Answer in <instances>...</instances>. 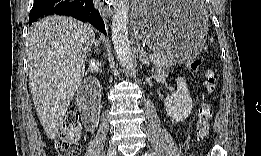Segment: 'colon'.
<instances>
[{
  "label": "colon",
  "instance_id": "1",
  "mask_svg": "<svg viewBox=\"0 0 261 156\" xmlns=\"http://www.w3.org/2000/svg\"><path fill=\"white\" fill-rule=\"evenodd\" d=\"M203 63L201 60H194L190 64L193 73L201 71ZM204 87L207 92L212 93L217 85V77L213 70L207 69L204 72ZM213 116V107L210 103H204L199 109V120L196 127L198 140H203L209 133L210 120ZM81 134V123L79 115L75 111L69 112L61 126L60 138L56 142V152L60 156H76L80 153L78 140Z\"/></svg>",
  "mask_w": 261,
  "mask_h": 156
}]
</instances>
